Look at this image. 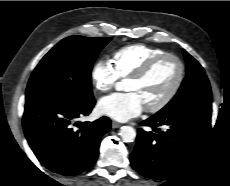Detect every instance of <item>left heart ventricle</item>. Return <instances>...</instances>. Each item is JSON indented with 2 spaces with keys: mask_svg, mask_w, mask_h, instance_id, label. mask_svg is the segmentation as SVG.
Segmentation results:
<instances>
[{
  "mask_svg": "<svg viewBox=\"0 0 230 186\" xmlns=\"http://www.w3.org/2000/svg\"><path fill=\"white\" fill-rule=\"evenodd\" d=\"M178 74L175 61L166 59L160 62L144 79L127 80L124 89L136 93L144 107L160 101L174 84Z\"/></svg>",
  "mask_w": 230,
  "mask_h": 186,
  "instance_id": "obj_1",
  "label": "left heart ventricle"
}]
</instances>
